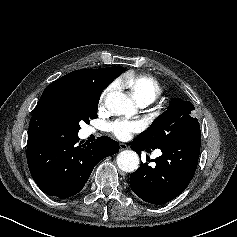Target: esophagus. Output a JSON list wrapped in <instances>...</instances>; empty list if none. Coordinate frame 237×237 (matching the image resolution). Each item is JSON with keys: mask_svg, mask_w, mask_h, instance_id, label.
<instances>
[{"mask_svg": "<svg viewBox=\"0 0 237 237\" xmlns=\"http://www.w3.org/2000/svg\"><path fill=\"white\" fill-rule=\"evenodd\" d=\"M119 147H120V150H126V149H128V146H127V144H125V143H119Z\"/></svg>", "mask_w": 237, "mask_h": 237, "instance_id": "1", "label": "esophagus"}]
</instances>
